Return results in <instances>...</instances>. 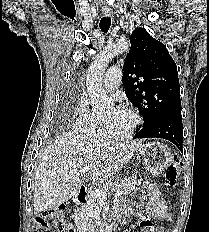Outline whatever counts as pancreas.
I'll return each instance as SVG.
<instances>
[{"mask_svg": "<svg viewBox=\"0 0 209 232\" xmlns=\"http://www.w3.org/2000/svg\"><path fill=\"white\" fill-rule=\"evenodd\" d=\"M136 184L137 177L135 175H132L111 183L108 187L105 188V191L113 187L114 189L122 190L123 194L126 195L131 193L135 189ZM100 202L101 201L96 196V193H93L90 196L89 202L76 210V213L74 215L75 220L82 226L90 229L91 231H95L96 227L99 226V220L97 219L98 210L96 209V207L99 205Z\"/></svg>", "mask_w": 209, "mask_h": 232, "instance_id": "obj_1", "label": "pancreas"}]
</instances>
